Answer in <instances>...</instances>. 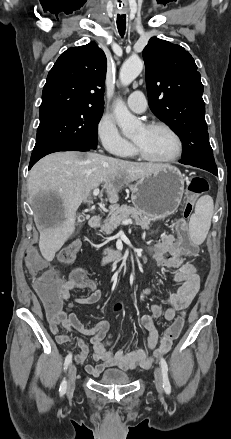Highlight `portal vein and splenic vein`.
<instances>
[{"mask_svg":"<svg viewBox=\"0 0 231 439\" xmlns=\"http://www.w3.org/2000/svg\"><path fill=\"white\" fill-rule=\"evenodd\" d=\"M99 193H100L99 188H96V189L93 190V196H97V195H99ZM122 224H123V225L132 224V220H131V219H126V220H124V221L122 222Z\"/></svg>","mask_w":231,"mask_h":439,"instance_id":"18ae733b","label":"portal vein and splenic vein"}]
</instances>
